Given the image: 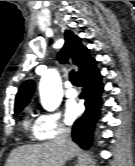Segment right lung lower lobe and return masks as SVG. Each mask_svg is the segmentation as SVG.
<instances>
[{"label":"right lung lower lobe","instance_id":"98d812e1","mask_svg":"<svg viewBox=\"0 0 135 166\" xmlns=\"http://www.w3.org/2000/svg\"><path fill=\"white\" fill-rule=\"evenodd\" d=\"M96 64V61L92 62L78 74L83 88L80 98L84 99L86 110L72 127V139L84 149L92 144L94 125L99 119L102 105L101 94L104 91L102 76Z\"/></svg>","mask_w":135,"mask_h":166}]
</instances>
